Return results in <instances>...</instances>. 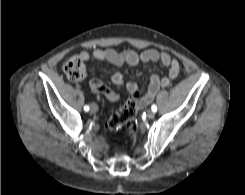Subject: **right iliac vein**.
I'll return each instance as SVG.
<instances>
[{
    "label": "right iliac vein",
    "instance_id": "obj_1",
    "mask_svg": "<svg viewBox=\"0 0 245 195\" xmlns=\"http://www.w3.org/2000/svg\"><path fill=\"white\" fill-rule=\"evenodd\" d=\"M98 111V106L96 105V104H92L91 105V112L92 113H95V112H97Z\"/></svg>",
    "mask_w": 245,
    "mask_h": 195
}]
</instances>
